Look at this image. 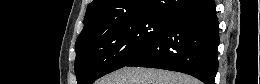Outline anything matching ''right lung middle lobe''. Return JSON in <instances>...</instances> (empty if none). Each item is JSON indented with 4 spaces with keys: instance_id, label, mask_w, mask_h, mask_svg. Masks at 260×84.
Segmentation results:
<instances>
[{
    "instance_id": "1",
    "label": "right lung middle lobe",
    "mask_w": 260,
    "mask_h": 84,
    "mask_svg": "<svg viewBox=\"0 0 260 84\" xmlns=\"http://www.w3.org/2000/svg\"><path fill=\"white\" fill-rule=\"evenodd\" d=\"M169 16L145 15L106 27L98 37L75 45L78 84L122 68L141 55L162 33Z\"/></svg>"
}]
</instances>
